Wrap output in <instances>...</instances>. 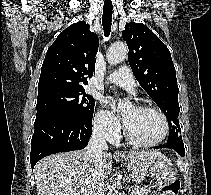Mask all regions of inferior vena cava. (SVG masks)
Returning <instances> with one entry per match:
<instances>
[{"instance_id":"602c4592","label":"inferior vena cava","mask_w":211,"mask_h":195,"mask_svg":"<svg viewBox=\"0 0 211 195\" xmlns=\"http://www.w3.org/2000/svg\"><path fill=\"white\" fill-rule=\"evenodd\" d=\"M106 125L94 127L89 140L86 158L93 164V174L88 182L87 195H104V177L102 173V154L108 149L106 142Z\"/></svg>"}]
</instances>
